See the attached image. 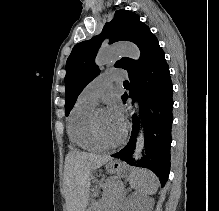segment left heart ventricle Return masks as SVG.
Listing matches in <instances>:
<instances>
[{"instance_id":"b2bd125f","label":"left heart ventricle","mask_w":219,"mask_h":211,"mask_svg":"<svg viewBox=\"0 0 219 211\" xmlns=\"http://www.w3.org/2000/svg\"><path fill=\"white\" fill-rule=\"evenodd\" d=\"M97 122L101 132L110 139H116L123 131L112 123L105 108L98 111Z\"/></svg>"}]
</instances>
